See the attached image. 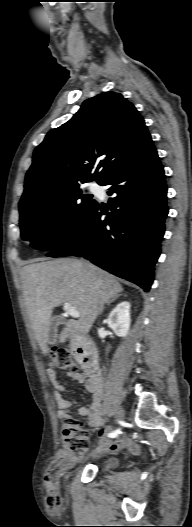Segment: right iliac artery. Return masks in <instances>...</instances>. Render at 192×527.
I'll list each match as a JSON object with an SVG mask.
<instances>
[{"instance_id":"82829eb1","label":"right iliac artery","mask_w":192,"mask_h":527,"mask_svg":"<svg viewBox=\"0 0 192 527\" xmlns=\"http://www.w3.org/2000/svg\"><path fill=\"white\" fill-rule=\"evenodd\" d=\"M120 429H121V426H118L117 430H115V431H113L111 433H108L107 436L110 437V438L117 437L121 433Z\"/></svg>"}]
</instances>
